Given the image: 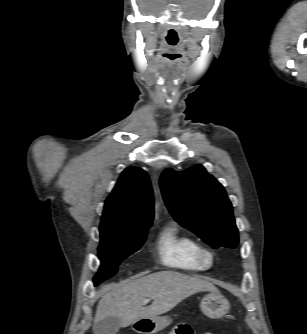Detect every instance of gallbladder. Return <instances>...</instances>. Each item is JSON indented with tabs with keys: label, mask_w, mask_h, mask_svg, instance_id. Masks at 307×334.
<instances>
[{
	"label": "gallbladder",
	"mask_w": 307,
	"mask_h": 334,
	"mask_svg": "<svg viewBox=\"0 0 307 334\" xmlns=\"http://www.w3.org/2000/svg\"><path fill=\"white\" fill-rule=\"evenodd\" d=\"M121 328V321L117 317H107L94 324V334H116Z\"/></svg>",
	"instance_id": "gallbladder-1"
}]
</instances>
